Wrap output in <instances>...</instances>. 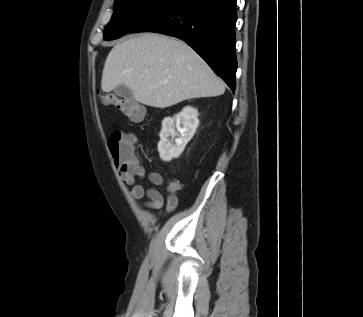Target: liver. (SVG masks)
I'll use <instances>...</instances> for the list:
<instances>
[{"label": "liver", "instance_id": "6515ba94", "mask_svg": "<svg viewBox=\"0 0 363 317\" xmlns=\"http://www.w3.org/2000/svg\"><path fill=\"white\" fill-rule=\"evenodd\" d=\"M119 85L139 103L157 108L225 92L223 81L190 46L157 33L133 35L112 48L101 89L108 93Z\"/></svg>", "mask_w": 363, "mask_h": 317}]
</instances>
